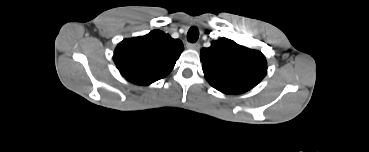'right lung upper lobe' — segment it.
Listing matches in <instances>:
<instances>
[{
    "label": "right lung upper lobe",
    "instance_id": "obj_1",
    "mask_svg": "<svg viewBox=\"0 0 369 152\" xmlns=\"http://www.w3.org/2000/svg\"><path fill=\"white\" fill-rule=\"evenodd\" d=\"M183 49L180 40L160 30H153L147 35L120 42L113 59L128 81L149 85L172 71Z\"/></svg>",
    "mask_w": 369,
    "mask_h": 152
}]
</instances>
